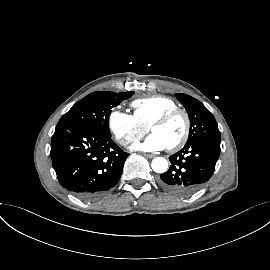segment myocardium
Listing matches in <instances>:
<instances>
[{
    "label": "myocardium",
    "instance_id": "myocardium-1",
    "mask_svg": "<svg viewBox=\"0 0 270 270\" xmlns=\"http://www.w3.org/2000/svg\"><path fill=\"white\" fill-rule=\"evenodd\" d=\"M177 115H181L184 118L185 129H184V133L182 137L175 144L167 147V149L171 152L177 151L180 148H182L186 144L189 138L190 131H191V121L187 112L180 108H174V109L168 110L165 113H163L161 116L156 118L149 126V129L152 131L154 127L165 124L166 122H168L170 119H172L173 117Z\"/></svg>",
    "mask_w": 270,
    "mask_h": 270
}]
</instances>
